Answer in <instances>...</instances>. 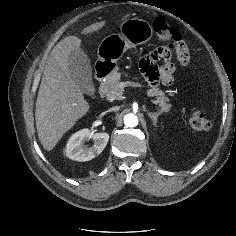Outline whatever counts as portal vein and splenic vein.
Here are the masks:
<instances>
[{
	"label": "portal vein and splenic vein",
	"instance_id": "1",
	"mask_svg": "<svg viewBox=\"0 0 236 236\" xmlns=\"http://www.w3.org/2000/svg\"><path fill=\"white\" fill-rule=\"evenodd\" d=\"M118 86H119V87H122V88H124L125 86L137 87L138 84L135 83V82L126 81V82H120Z\"/></svg>",
	"mask_w": 236,
	"mask_h": 236
}]
</instances>
